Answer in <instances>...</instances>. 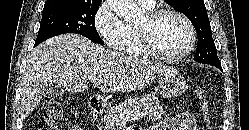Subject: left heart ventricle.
<instances>
[{
	"instance_id": "b2bd125f",
	"label": "left heart ventricle",
	"mask_w": 249,
	"mask_h": 130,
	"mask_svg": "<svg viewBox=\"0 0 249 130\" xmlns=\"http://www.w3.org/2000/svg\"><path fill=\"white\" fill-rule=\"evenodd\" d=\"M147 24V18L140 26ZM151 38L154 47L166 55L181 52L188 44L189 31L185 23L175 16H165L151 26Z\"/></svg>"
}]
</instances>
